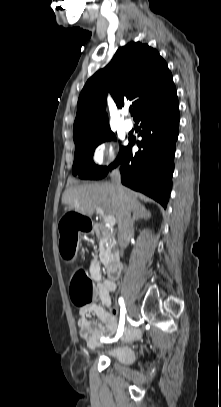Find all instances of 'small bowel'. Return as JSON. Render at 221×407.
Wrapping results in <instances>:
<instances>
[{"mask_svg": "<svg viewBox=\"0 0 221 407\" xmlns=\"http://www.w3.org/2000/svg\"><path fill=\"white\" fill-rule=\"evenodd\" d=\"M89 276L94 283L93 297L100 301L82 307L79 310V333L85 341L89 350H95L102 344L101 339L112 336L117 328L116 309L112 305L111 293L116 289L115 280L103 278L100 263L94 259L89 268ZM94 314L97 320L89 318ZM140 334L136 329L130 328L126 331L123 340L133 342L139 338Z\"/></svg>", "mask_w": 221, "mask_h": 407, "instance_id": "c3829d8e", "label": "small bowel"}]
</instances>
